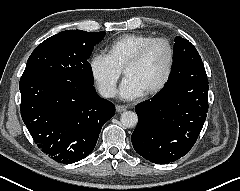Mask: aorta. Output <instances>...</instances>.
<instances>
[{
  "mask_svg": "<svg viewBox=\"0 0 240 191\" xmlns=\"http://www.w3.org/2000/svg\"><path fill=\"white\" fill-rule=\"evenodd\" d=\"M120 121L124 127L131 128V127L136 126V124L138 122V117L135 112L126 111L121 114Z\"/></svg>",
  "mask_w": 240,
  "mask_h": 191,
  "instance_id": "obj_1",
  "label": "aorta"
}]
</instances>
